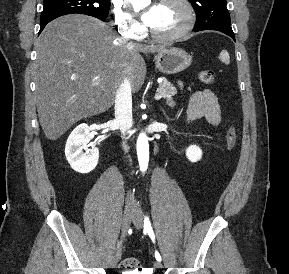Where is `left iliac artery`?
Returning a JSON list of instances; mask_svg holds the SVG:
<instances>
[{
    "label": "left iliac artery",
    "mask_w": 289,
    "mask_h": 274,
    "mask_svg": "<svg viewBox=\"0 0 289 274\" xmlns=\"http://www.w3.org/2000/svg\"><path fill=\"white\" fill-rule=\"evenodd\" d=\"M144 232L147 233L149 237L151 238V240L153 241V243H155V234L153 232L148 216H145V219H144ZM155 258L157 261L159 262L161 261V255L159 254L158 251H155Z\"/></svg>",
    "instance_id": "obj_1"
}]
</instances>
